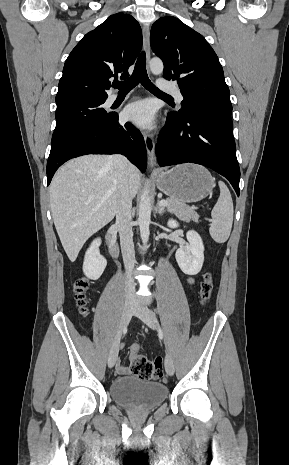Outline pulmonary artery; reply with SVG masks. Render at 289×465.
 <instances>
[{
  "instance_id": "1",
  "label": "pulmonary artery",
  "mask_w": 289,
  "mask_h": 465,
  "mask_svg": "<svg viewBox=\"0 0 289 465\" xmlns=\"http://www.w3.org/2000/svg\"><path fill=\"white\" fill-rule=\"evenodd\" d=\"M158 88L163 91V92H168L176 96L179 102L183 101V96L181 92L178 90V88L164 79H159L158 80ZM117 99V95L113 94L108 98L109 103H113Z\"/></svg>"
}]
</instances>
